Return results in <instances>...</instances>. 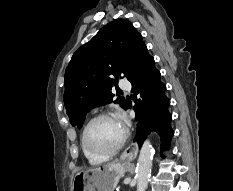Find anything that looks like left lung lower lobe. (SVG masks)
Segmentation results:
<instances>
[{"instance_id": "obj_1", "label": "left lung lower lobe", "mask_w": 233, "mask_h": 191, "mask_svg": "<svg viewBox=\"0 0 233 191\" xmlns=\"http://www.w3.org/2000/svg\"><path fill=\"white\" fill-rule=\"evenodd\" d=\"M132 92L140 95L133 107L138 122V133L134 139L139 147L151 130L161 138V157L164 149L170 148L174 132L171 128L172 116L168 112L170 100L165 96L166 86L160 81V72L154 67V58L148 55L128 79Z\"/></svg>"}]
</instances>
